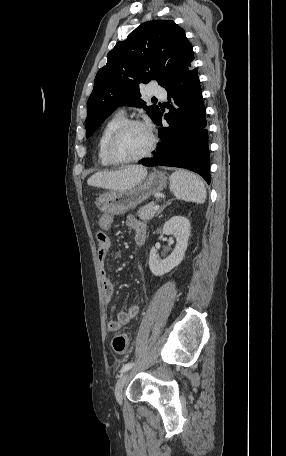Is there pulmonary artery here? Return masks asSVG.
Segmentation results:
<instances>
[{
	"label": "pulmonary artery",
	"mask_w": 286,
	"mask_h": 456,
	"mask_svg": "<svg viewBox=\"0 0 286 456\" xmlns=\"http://www.w3.org/2000/svg\"><path fill=\"white\" fill-rule=\"evenodd\" d=\"M151 94H152L153 96H156V97H166L167 92H166V90L163 89V88H158V87H156V88H152V89H151ZM119 111H120V112H123V109L120 108Z\"/></svg>",
	"instance_id": "e3ab8cb5"
}]
</instances>
